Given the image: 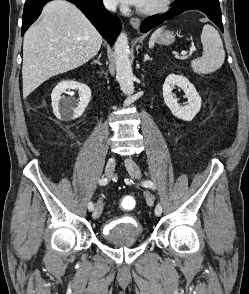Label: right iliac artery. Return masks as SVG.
Segmentation results:
<instances>
[{"mask_svg":"<svg viewBox=\"0 0 249 294\" xmlns=\"http://www.w3.org/2000/svg\"><path fill=\"white\" fill-rule=\"evenodd\" d=\"M107 182H108L107 178H104V177L99 180L100 185H106ZM88 209H89V211H93L94 204L92 202L88 203Z\"/></svg>","mask_w":249,"mask_h":294,"instance_id":"right-iliac-artery-1","label":"right iliac artery"}]
</instances>
